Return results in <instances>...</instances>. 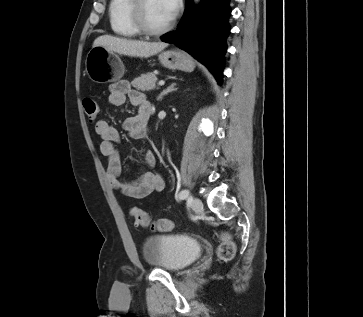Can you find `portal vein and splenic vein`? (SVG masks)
Returning a JSON list of instances; mask_svg holds the SVG:
<instances>
[{
    "label": "portal vein and splenic vein",
    "mask_w": 363,
    "mask_h": 317,
    "mask_svg": "<svg viewBox=\"0 0 363 317\" xmlns=\"http://www.w3.org/2000/svg\"><path fill=\"white\" fill-rule=\"evenodd\" d=\"M164 84H165V81H163V80L159 81V83H158L159 86H163Z\"/></svg>",
    "instance_id": "obj_1"
}]
</instances>
